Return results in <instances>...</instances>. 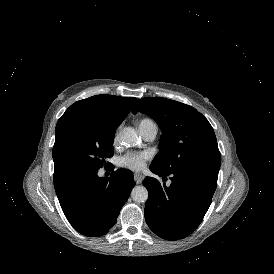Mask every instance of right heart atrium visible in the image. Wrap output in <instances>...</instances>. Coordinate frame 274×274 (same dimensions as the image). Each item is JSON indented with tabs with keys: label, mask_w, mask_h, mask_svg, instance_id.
I'll list each match as a JSON object with an SVG mask.
<instances>
[{
	"label": "right heart atrium",
	"mask_w": 274,
	"mask_h": 274,
	"mask_svg": "<svg viewBox=\"0 0 274 274\" xmlns=\"http://www.w3.org/2000/svg\"><path fill=\"white\" fill-rule=\"evenodd\" d=\"M118 140V136L116 135L115 138H114V143H116Z\"/></svg>",
	"instance_id": "1"
}]
</instances>
